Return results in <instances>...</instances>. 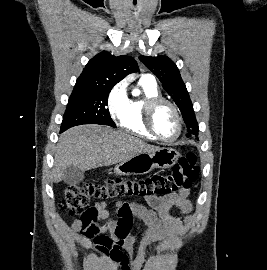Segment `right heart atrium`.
<instances>
[{"mask_svg": "<svg viewBox=\"0 0 267 270\" xmlns=\"http://www.w3.org/2000/svg\"><path fill=\"white\" fill-rule=\"evenodd\" d=\"M128 101L125 82L121 81L111 88L107 96V110L113 120H120Z\"/></svg>", "mask_w": 267, "mask_h": 270, "instance_id": "d8ad5b80", "label": "right heart atrium"}]
</instances>
